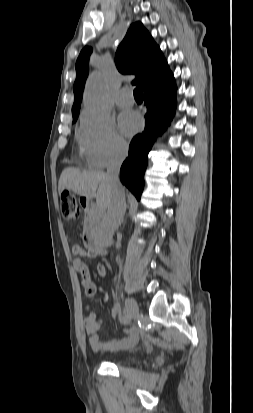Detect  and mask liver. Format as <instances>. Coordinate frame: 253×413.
I'll return each instance as SVG.
<instances>
[{
    "label": "liver",
    "instance_id": "6515ba94",
    "mask_svg": "<svg viewBox=\"0 0 253 413\" xmlns=\"http://www.w3.org/2000/svg\"><path fill=\"white\" fill-rule=\"evenodd\" d=\"M65 189L88 199L96 197L97 206L102 211L108 209L114 196L110 181L101 171L66 168L61 173L58 192Z\"/></svg>",
    "mask_w": 253,
    "mask_h": 413
}]
</instances>
